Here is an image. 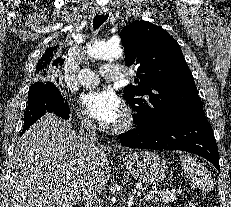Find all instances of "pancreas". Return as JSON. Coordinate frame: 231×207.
I'll use <instances>...</instances> for the list:
<instances>
[{
	"label": "pancreas",
	"instance_id": "cf45deb5",
	"mask_svg": "<svg viewBox=\"0 0 231 207\" xmlns=\"http://www.w3.org/2000/svg\"><path fill=\"white\" fill-rule=\"evenodd\" d=\"M136 193L137 196H140L142 191L133 192ZM154 194L153 201L163 202V203H172L176 199V193L170 190H160V191H153Z\"/></svg>",
	"mask_w": 231,
	"mask_h": 207
}]
</instances>
